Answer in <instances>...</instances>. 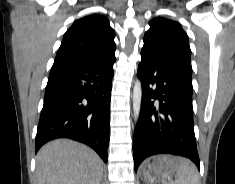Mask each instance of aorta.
<instances>
[{
  "label": "aorta",
  "instance_id": "obj_1",
  "mask_svg": "<svg viewBox=\"0 0 235 184\" xmlns=\"http://www.w3.org/2000/svg\"><path fill=\"white\" fill-rule=\"evenodd\" d=\"M142 102V86L140 80H136L133 88V114L134 120L137 122L141 110Z\"/></svg>",
  "mask_w": 235,
  "mask_h": 184
}]
</instances>
